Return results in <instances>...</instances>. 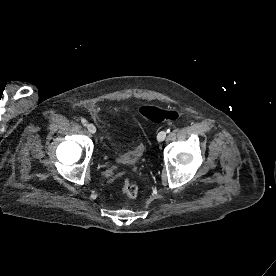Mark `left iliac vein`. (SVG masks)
Wrapping results in <instances>:
<instances>
[{
    "label": "left iliac vein",
    "mask_w": 276,
    "mask_h": 276,
    "mask_svg": "<svg viewBox=\"0 0 276 276\" xmlns=\"http://www.w3.org/2000/svg\"><path fill=\"white\" fill-rule=\"evenodd\" d=\"M167 132L166 131H161L159 132V134L157 135V140L159 142L164 141V139L166 138Z\"/></svg>",
    "instance_id": "obj_1"
}]
</instances>
